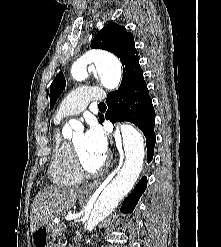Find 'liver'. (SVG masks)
<instances>
[{"mask_svg":"<svg viewBox=\"0 0 221 247\" xmlns=\"http://www.w3.org/2000/svg\"><path fill=\"white\" fill-rule=\"evenodd\" d=\"M79 190L61 186H45L36 195L31 215L30 228L47 224L51 219L67 212L76 202Z\"/></svg>","mask_w":221,"mask_h":247,"instance_id":"1","label":"liver"}]
</instances>
